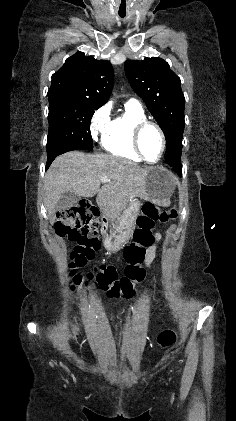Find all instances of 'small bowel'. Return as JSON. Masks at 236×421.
Wrapping results in <instances>:
<instances>
[{
    "label": "small bowel",
    "mask_w": 236,
    "mask_h": 421,
    "mask_svg": "<svg viewBox=\"0 0 236 421\" xmlns=\"http://www.w3.org/2000/svg\"><path fill=\"white\" fill-rule=\"evenodd\" d=\"M156 239H157V240H159V239H160V235H159V234H157V235H156Z\"/></svg>",
    "instance_id": "obj_1"
}]
</instances>
